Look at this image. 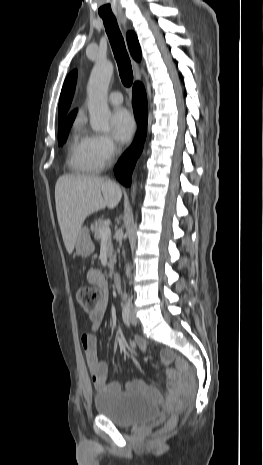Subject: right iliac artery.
<instances>
[{"label":"right iliac artery","instance_id":"82829eb1","mask_svg":"<svg viewBox=\"0 0 263 465\" xmlns=\"http://www.w3.org/2000/svg\"><path fill=\"white\" fill-rule=\"evenodd\" d=\"M122 318L124 323L129 327L130 326V307L126 304L122 310Z\"/></svg>","mask_w":263,"mask_h":465}]
</instances>
